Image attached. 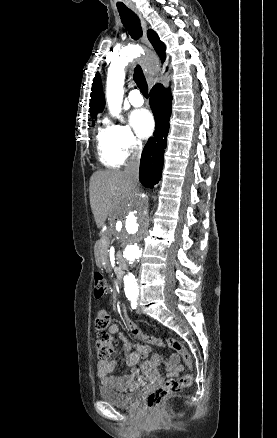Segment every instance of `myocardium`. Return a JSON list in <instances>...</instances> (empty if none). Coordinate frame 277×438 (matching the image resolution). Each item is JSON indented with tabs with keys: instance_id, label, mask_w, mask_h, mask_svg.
I'll list each match as a JSON object with an SVG mask.
<instances>
[{
	"instance_id": "f54148a6",
	"label": "myocardium",
	"mask_w": 277,
	"mask_h": 438,
	"mask_svg": "<svg viewBox=\"0 0 277 438\" xmlns=\"http://www.w3.org/2000/svg\"><path fill=\"white\" fill-rule=\"evenodd\" d=\"M145 50H149L147 47H145ZM133 65H134V63H133ZM134 67H135V65H134Z\"/></svg>"
}]
</instances>
